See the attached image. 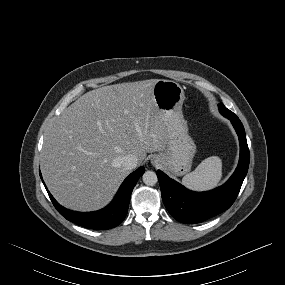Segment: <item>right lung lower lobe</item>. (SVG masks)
Listing matches in <instances>:
<instances>
[{
  "mask_svg": "<svg viewBox=\"0 0 285 285\" xmlns=\"http://www.w3.org/2000/svg\"><path fill=\"white\" fill-rule=\"evenodd\" d=\"M144 171L145 168L140 167L131 173L120 186L113 201L107 207L99 211L81 213L68 210L58 204L49 191L47 192L55 208L67 220L90 229H110L116 227L124 220L132 190Z\"/></svg>",
  "mask_w": 285,
  "mask_h": 285,
  "instance_id": "right-lung-lower-lobe-1",
  "label": "right lung lower lobe"
}]
</instances>
